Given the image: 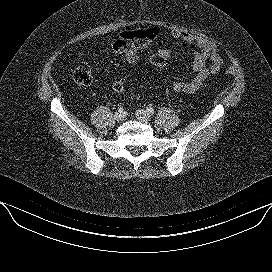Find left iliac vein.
Listing matches in <instances>:
<instances>
[{
  "instance_id": "left-iliac-vein-1",
  "label": "left iliac vein",
  "mask_w": 272,
  "mask_h": 272,
  "mask_svg": "<svg viewBox=\"0 0 272 272\" xmlns=\"http://www.w3.org/2000/svg\"><path fill=\"white\" fill-rule=\"evenodd\" d=\"M136 117L139 121L144 123H148L151 119L150 114L146 110H143V109L137 110Z\"/></svg>"
}]
</instances>
